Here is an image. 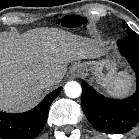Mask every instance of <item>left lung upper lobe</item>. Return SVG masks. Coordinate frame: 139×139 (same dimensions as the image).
<instances>
[{"label": "left lung upper lobe", "mask_w": 139, "mask_h": 139, "mask_svg": "<svg viewBox=\"0 0 139 139\" xmlns=\"http://www.w3.org/2000/svg\"><path fill=\"white\" fill-rule=\"evenodd\" d=\"M123 28L127 29L126 32H127L128 35H130V34H132L134 32L133 30H131L129 28V26L126 24V22H123Z\"/></svg>", "instance_id": "left-lung-upper-lobe-1"}]
</instances>
